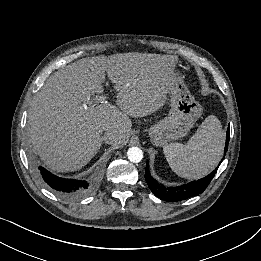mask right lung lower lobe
<instances>
[{
  "label": "right lung lower lobe",
  "mask_w": 261,
  "mask_h": 261,
  "mask_svg": "<svg viewBox=\"0 0 261 261\" xmlns=\"http://www.w3.org/2000/svg\"><path fill=\"white\" fill-rule=\"evenodd\" d=\"M39 172L41 178L52 190L66 198H80L91 190L90 183L85 180L61 178L43 167H39Z\"/></svg>",
  "instance_id": "obj_1"
}]
</instances>
